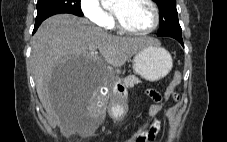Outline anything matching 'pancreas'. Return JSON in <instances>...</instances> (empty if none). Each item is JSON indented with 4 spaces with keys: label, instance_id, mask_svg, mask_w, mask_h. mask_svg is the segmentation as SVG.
<instances>
[{
    "label": "pancreas",
    "instance_id": "obj_1",
    "mask_svg": "<svg viewBox=\"0 0 227 142\" xmlns=\"http://www.w3.org/2000/svg\"><path fill=\"white\" fill-rule=\"evenodd\" d=\"M122 81L126 88H131V87L141 83V80L138 77H136L135 75H129V76L125 77Z\"/></svg>",
    "mask_w": 227,
    "mask_h": 142
}]
</instances>
